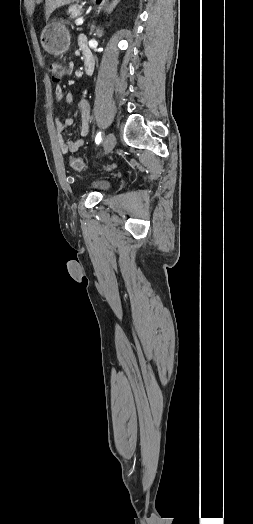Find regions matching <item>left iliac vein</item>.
Segmentation results:
<instances>
[{"label": "left iliac vein", "mask_w": 253, "mask_h": 524, "mask_svg": "<svg viewBox=\"0 0 253 524\" xmlns=\"http://www.w3.org/2000/svg\"><path fill=\"white\" fill-rule=\"evenodd\" d=\"M116 145V137L113 133H109L106 135L103 143L104 151L105 153H109L113 150V148Z\"/></svg>", "instance_id": "obj_1"}]
</instances>
